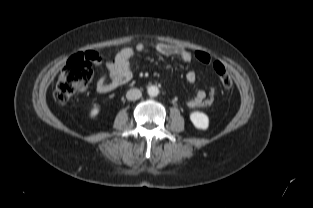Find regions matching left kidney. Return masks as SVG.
<instances>
[{
	"label": "left kidney",
	"mask_w": 313,
	"mask_h": 208,
	"mask_svg": "<svg viewBox=\"0 0 313 208\" xmlns=\"http://www.w3.org/2000/svg\"><path fill=\"white\" fill-rule=\"evenodd\" d=\"M190 120L197 129L206 130L209 126V118L202 112H192Z\"/></svg>",
	"instance_id": "5707ae66"
}]
</instances>
